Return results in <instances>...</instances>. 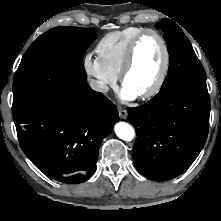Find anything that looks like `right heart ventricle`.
<instances>
[{"instance_id": "obj_1", "label": "right heart ventricle", "mask_w": 221, "mask_h": 221, "mask_svg": "<svg viewBox=\"0 0 221 221\" xmlns=\"http://www.w3.org/2000/svg\"><path fill=\"white\" fill-rule=\"evenodd\" d=\"M143 30L140 27H126L105 34L98 42L96 46L98 57L116 76L121 71L129 44Z\"/></svg>"}]
</instances>
